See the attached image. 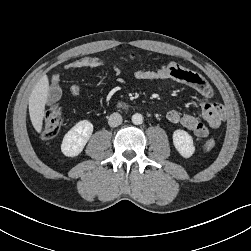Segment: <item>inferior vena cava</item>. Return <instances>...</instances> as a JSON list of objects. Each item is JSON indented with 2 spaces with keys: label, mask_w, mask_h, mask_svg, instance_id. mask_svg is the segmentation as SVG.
<instances>
[{
  "label": "inferior vena cava",
  "mask_w": 251,
  "mask_h": 251,
  "mask_svg": "<svg viewBox=\"0 0 251 251\" xmlns=\"http://www.w3.org/2000/svg\"><path fill=\"white\" fill-rule=\"evenodd\" d=\"M122 123V116L119 113H112L108 118V124L111 127H117Z\"/></svg>",
  "instance_id": "602c4592"
}]
</instances>
